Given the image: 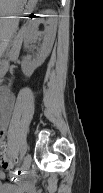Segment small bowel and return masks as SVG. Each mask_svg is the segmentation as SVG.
Segmentation results:
<instances>
[{
	"instance_id": "small-bowel-1",
	"label": "small bowel",
	"mask_w": 103,
	"mask_h": 193,
	"mask_svg": "<svg viewBox=\"0 0 103 193\" xmlns=\"http://www.w3.org/2000/svg\"><path fill=\"white\" fill-rule=\"evenodd\" d=\"M15 105V97L9 92L2 94V118H1V136L4 140L7 133L8 119ZM4 143V142H2ZM5 144V143H4ZM0 177L5 179V174L0 173ZM12 183H4L2 186L3 193H40L37 190L34 180L29 176L19 174L12 175Z\"/></svg>"
}]
</instances>
